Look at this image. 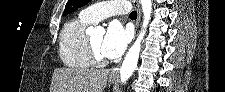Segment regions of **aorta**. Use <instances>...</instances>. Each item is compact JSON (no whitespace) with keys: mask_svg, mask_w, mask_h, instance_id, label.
<instances>
[{"mask_svg":"<svg viewBox=\"0 0 225 92\" xmlns=\"http://www.w3.org/2000/svg\"><path fill=\"white\" fill-rule=\"evenodd\" d=\"M142 5V12H143V24L141 32L139 33L136 41L131 46L129 51L127 52L125 59L122 63L120 68V79L122 83H126V81L131 77L133 71L135 70L139 54L141 50V41L146 33V28L150 21L151 12H152V1L151 0H140ZM97 30H102V28L98 27Z\"/></svg>","mask_w":225,"mask_h":92,"instance_id":"obj_1","label":"aorta"}]
</instances>
